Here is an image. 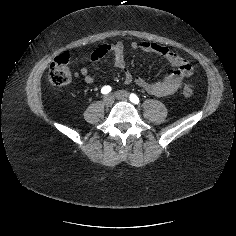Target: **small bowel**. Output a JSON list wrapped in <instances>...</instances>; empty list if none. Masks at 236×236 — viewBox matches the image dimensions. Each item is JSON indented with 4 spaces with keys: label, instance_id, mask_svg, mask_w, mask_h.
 <instances>
[{
    "label": "small bowel",
    "instance_id": "1",
    "mask_svg": "<svg viewBox=\"0 0 236 236\" xmlns=\"http://www.w3.org/2000/svg\"><path fill=\"white\" fill-rule=\"evenodd\" d=\"M131 47L133 49H139L162 56L174 66L173 71L159 81H148L141 76H133L126 66L124 45L121 42H117L113 45L105 44L99 46L91 53L90 59L91 62L95 63L107 53L112 52L113 64L122 71L124 82L126 84L134 82L137 86L155 96H168L174 94L182 87L183 80L186 77H189L193 72L191 63L168 47L148 41L133 42ZM80 74L85 84L92 85L95 83V78L89 73L86 65H83L80 68Z\"/></svg>",
    "mask_w": 236,
    "mask_h": 236
}]
</instances>
